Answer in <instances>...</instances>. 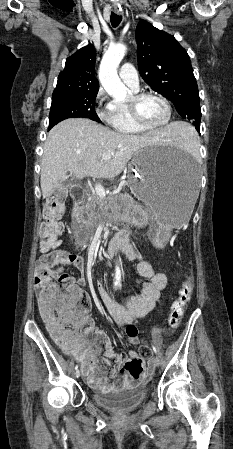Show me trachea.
<instances>
[{
    "instance_id": "3493384b",
    "label": "trachea",
    "mask_w": 233,
    "mask_h": 449,
    "mask_svg": "<svg viewBox=\"0 0 233 449\" xmlns=\"http://www.w3.org/2000/svg\"><path fill=\"white\" fill-rule=\"evenodd\" d=\"M122 21V16L117 15L115 13H111V24L114 28H116L120 22Z\"/></svg>"
}]
</instances>
